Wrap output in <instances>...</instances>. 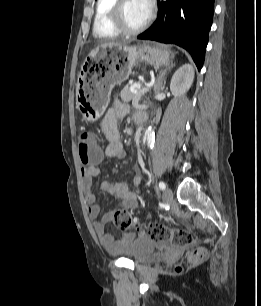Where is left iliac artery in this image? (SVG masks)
<instances>
[{"label":"left iliac artery","mask_w":261,"mask_h":306,"mask_svg":"<svg viewBox=\"0 0 261 306\" xmlns=\"http://www.w3.org/2000/svg\"><path fill=\"white\" fill-rule=\"evenodd\" d=\"M165 187H166L165 183L162 182V181H160V182H159V188H160L161 190H164Z\"/></svg>","instance_id":"44dca946"}]
</instances>
